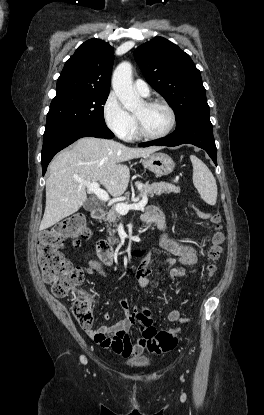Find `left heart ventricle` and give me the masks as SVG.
<instances>
[{"label": "left heart ventricle", "instance_id": "left-heart-ventricle-1", "mask_svg": "<svg viewBox=\"0 0 264 415\" xmlns=\"http://www.w3.org/2000/svg\"><path fill=\"white\" fill-rule=\"evenodd\" d=\"M146 133L155 135L166 130L170 122L168 111L162 106H146L143 103L134 113Z\"/></svg>", "mask_w": 264, "mask_h": 415}]
</instances>
